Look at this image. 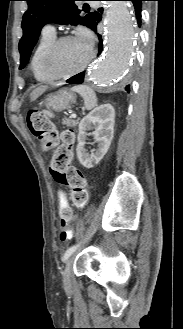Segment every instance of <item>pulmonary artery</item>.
Segmentation results:
<instances>
[{
    "mask_svg": "<svg viewBox=\"0 0 183 329\" xmlns=\"http://www.w3.org/2000/svg\"><path fill=\"white\" fill-rule=\"evenodd\" d=\"M43 32L55 33V27L52 24H48V25L44 26Z\"/></svg>",
    "mask_w": 183,
    "mask_h": 329,
    "instance_id": "pulmonary-artery-1",
    "label": "pulmonary artery"
}]
</instances>
